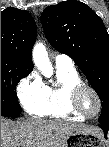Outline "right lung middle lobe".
<instances>
[{
    "mask_svg": "<svg viewBox=\"0 0 109 147\" xmlns=\"http://www.w3.org/2000/svg\"><path fill=\"white\" fill-rule=\"evenodd\" d=\"M31 69L1 58V116L16 118L21 107L15 96L16 84Z\"/></svg>",
    "mask_w": 109,
    "mask_h": 147,
    "instance_id": "obj_1",
    "label": "right lung middle lobe"
}]
</instances>
